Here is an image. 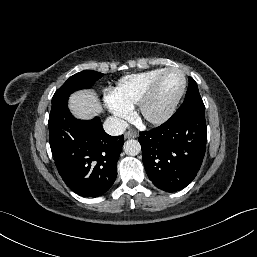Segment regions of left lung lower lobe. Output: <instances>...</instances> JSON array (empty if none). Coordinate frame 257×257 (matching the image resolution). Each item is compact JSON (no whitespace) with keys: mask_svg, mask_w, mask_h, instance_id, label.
Segmentation results:
<instances>
[{"mask_svg":"<svg viewBox=\"0 0 257 257\" xmlns=\"http://www.w3.org/2000/svg\"><path fill=\"white\" fill-rule=\"evenodd\" d=\"M206 130L205 111H188L139 133L143 164L156 187L176 192L190 184L205 155Z\"/></svg>","mask_w":257,"mask_h":257,"instance_id":"left-lung-lower-lobe-1","label":"left lung lower lobe"}]
</instances>
